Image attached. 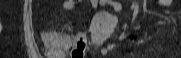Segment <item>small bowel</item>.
Wrapping results in <instances>:
<instances>
[{
  "label": "small bowel",
  "mask_w": 181,
  "mask_h": 58,
  "mask_svg": "<svg viewBox=\"0 0 181 58\" xmlns=\"http://www.w3.org/2000/svg\"><path fill=\"white\" fill-rule=\"evenodd\" d=\"M92 4L94 6H97L99 3H102L103 1H98V0H91ZM79 3V0H66L63 3V8L66 11H72L76 8L77 4ZM170 3V0H160L159 5L164 7ZM112 8L115 11H120L121 10V5L117 2H112ZM82 37L85 39V36L82 33H77L74 38ZM151 37H145L143 39H140L137 41V45L142 44L149 40ZM115 47V44L109 45L108 47H103L101 48L100 52L102 55H106L110 50H112Z\"/></svg>",
  "instance_id": "c3829d8e"
}]
</instances>
